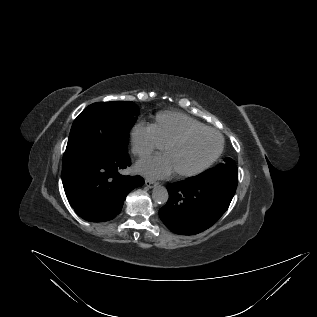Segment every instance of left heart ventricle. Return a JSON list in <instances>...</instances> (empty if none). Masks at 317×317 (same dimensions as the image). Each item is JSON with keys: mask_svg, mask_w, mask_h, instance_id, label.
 Here are the masks:
<instances>
[{"mask_svg": "<svg viewBox=\"0 0 317 317\" xmlns=\"http://www.w3.org/2000/svg\"><path fill=\"white\" fill-rule=\"evenodd\" d=\"M220 143L213 132H201L189 136L186 140L170 147L164 154L174 172L196 168L209 159Z\"/></svg>", "mask_w": 317, "mask_h": 317, "instance_id": "obj_1", "label": "left heart ventricle"}]
</instances>
